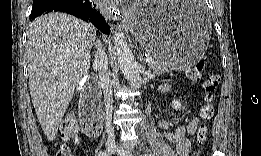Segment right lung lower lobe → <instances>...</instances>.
<instances>
[{
	"instance_id": "98d812e1",
	"label": "right lung lower lobe",
	"mask_w": 261,
	"mask_h": 156,
	"mask_svg": "<svg viewBox=\"0 0 261 156\" xmlns=\"http://www.w3.org/2000/svg\"><path fill=\"white\" fill-rule=\"evenodd\" d=\"M51 11L66 12L84 21H90L105 34L110 33V28L104 17L98 12L93 1L85 0H33L30 19Z\"/></svg>"
}]
</instances>
